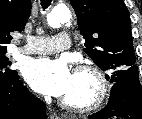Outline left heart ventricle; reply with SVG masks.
Segmentation results:
<instances>
[{
  "mask_svg": "<svg viewBox=\"0 0 142 119\" xmlns=\"http://www.w3.org/2000/svg\"><path fill=\"white\" fill-rule=\"evenodd\" d=\"M96 89L95 80L88 74H73L72 84L63 98L78 104L91 100Z\"/></svg>",
  "mask_w": 142,
  "mask_h": 119,
  "instance_id": "b2bd125f",
  "label": "left heart ventricle"
}]
</instances>
